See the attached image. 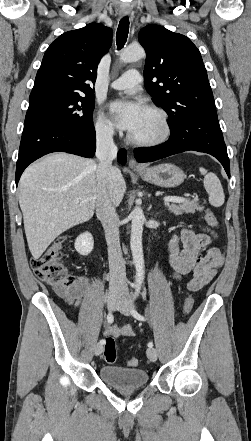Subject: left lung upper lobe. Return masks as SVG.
I'll return each mask as SVG.
<instances>
[{
	"mask_svg": "<svg viewBox=\"0 0 251 441\" xmlns=\"http://www.w3.org/2000/svg\"><path fill=\"white\" fill-rule=\"evenodd\" d=\"M138 40L147 53L144 85L168 114L171 129L195 115L217 116L200 51L188 37L148 25Z\"/></svg>",
	"mask_w": 251,
	"mask_h": 441,
	"instance_id": "obj_1",
	"label": "left lung upper lobe"
}]
</instances>
